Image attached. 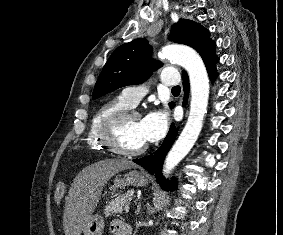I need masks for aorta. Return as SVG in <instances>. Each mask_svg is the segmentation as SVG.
I'll use <instances>...</instances> for the list:
<instances>
[{
  "mask_svg": "<svg viewBox=\"0 0 283 235\" xmlns=\"http://www.w3.org/2000/svg\"><path fill=\"white\" fill-rule=\"evenodd\" d=\"M159 56L181 65L189 75L191 87L190 112L186 125L165 159L163 173L167 176L188 154L201 132L207 112L209 79L203 60L189 47L167 45L161 49Z\"/></svg>",
  "mask_w": 283,
  "mask_h": 235,
  "instance_id": "aorta-1",
  "label": "aorta"
}]
</instances>
